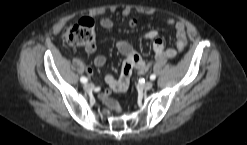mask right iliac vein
Listing matches in <instances>:
<instances>
[{"mask_svg": "<svg viewBox=\"0 0 247 145\" xmlns=\"http://www.w3.org/2000/svg\"><path fill=\"white\" fill-rule=\"evenodd\" d=\"M84 89L86 90V91H89V90H91L92 88H93V85L92 84H90V83H86V84H84Z\"/></svg>", "mask_w": 247, "mask_h": 145, "instance_id": "63e3f726", "label": "right iliac vein"}]
</instances>
